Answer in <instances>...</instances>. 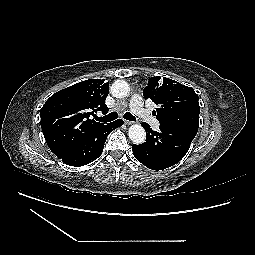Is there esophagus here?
I'll return each instance as SVG.
<instances>
[{
	"label": "esophagus",
	"mask_w": 255,
	"mask_h": 255,
	"mask_svg": "<svg viewBox=\"0 0 255 255\" xmlns=\"http://www.w3.org/2000/svg\"><path fill=\"white\" fill-rule=\"evenodd\" d=\"M124 123L126 124V125H132L133 124V122L132 121H129V120H124Z\"/></svg>",
	"instance_id": "1"
}]
</instances>
